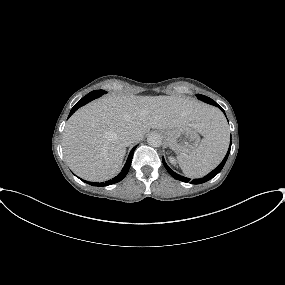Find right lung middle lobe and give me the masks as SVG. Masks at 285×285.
<instances>
[{"label": "right lung middle lobe", "instance_id": "1", "mask_svg": "<svg viewBox=\"0 0 285 285\" xmlns=\"http://www.w3.org/2000/svg\"><path fill=\"white\" fill-rule=\"evenodd\" d=\"M105 93H106V91H104V90H95V91L90 92L88 95H96V94H99V96H101V95H103V94H105Z\"/></svg>", "mask_w": 285, "mask_h": 285}]
</instances>
